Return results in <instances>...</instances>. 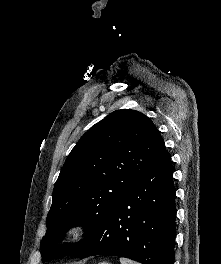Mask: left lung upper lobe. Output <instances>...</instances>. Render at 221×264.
<instances>
[{
    "label": "left lung upper lobe",
    "instance_id": "1",
    "mask_svg": "<svg viewBox=\"0 0 221 264\" xmlns=\"http://www.w3.org/2000/svg\"><path fill=\"white\" fill-rule=\"evenodd\" d=\"M153 122L135 110L112 112L92 126L68 155L53 190L42 260L70 255L94 233L119 199L165 152ZM85 239L58 245L70 227Z\"/></svg>",
    "mask_w": 221,
    "mask_h": 264
}]
</instances>
